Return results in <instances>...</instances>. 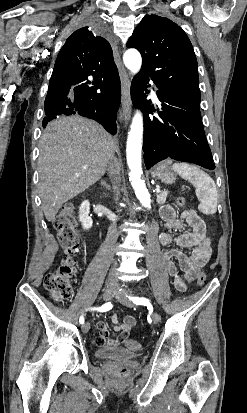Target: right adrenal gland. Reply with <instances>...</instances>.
I'll return each mask as SVG.
<instances>
[{
	"label": "right adrenal gland",
	"instance_id": "1",
	"mask_svg": "<svg viewBox=\"0 0 247 413\" xmlns=\"http://www.w3.org/2000/svg\"><path fill=\"white\" fill-rule=\"evenodd\" d=\"M101 184H103V186H105L106 190H111V184H108V182H106V180H101Z\"/></svg>",
	"mask_w": 247,
	"mask_h": 413
}]
</instances>
